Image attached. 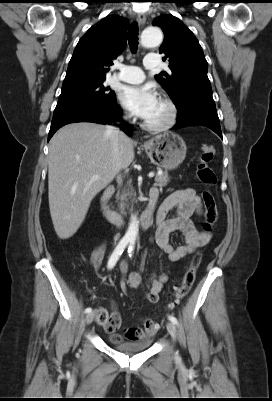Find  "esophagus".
Wrapping results in <instances>:
<instances>
[{"label":"esophagus","instance_id":"esophagus-1","mask_svg":"<svg viewBox=\"0 0 272 401\" xmlns=\"http://www.w3.org/2000/svg\"><path fill=\"white\" fill-rule=\"evenodd\" d=\"M136 19L140 26H143L146 22V16L144 13H138Z\"/></svg>","mask_w":272,"mask_h":401}]
</instances>
